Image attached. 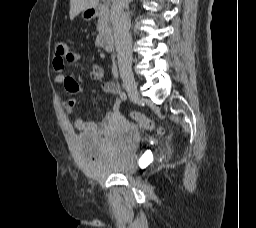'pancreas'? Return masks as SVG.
<instances>
[{"instance_id":"cf45deb5","label":"pancreas","mask_w":256,"mask_h":228,"mask_svg":"<svg viewBox=\"0 0 256 228\" xmlns=\"http://www.w3.org/2000/svg\"><path fill=\"white\" fill-rule=\"evenodd\" d=\"M109 5H106L104 10L100 13L98 19L97 30L100 32H108L109 31Z\"/></svg>"}]
</instances>
